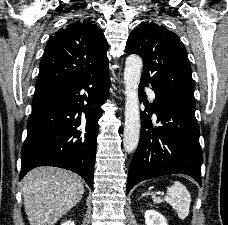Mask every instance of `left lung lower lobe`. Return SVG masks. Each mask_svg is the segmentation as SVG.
Segmentation results:
<instances>
[{
    "label": "left lung lower lobe",
    "mask_w": 228,
    "mask_h": 225,
    "mask_svg": "<svg viewBox=\"0 0 228 225\" xmlns=\"http://www.w3.org/2000/svg\"><path fill=\"white\" fill-rule=\"evenodd\" d=\"M146 85L140 82V102L147 98ZM155 94L153 104L147 105L145 101L147 108L141 112L140 141L130 164L126 194L143 180L176 173L189 175L202 185L203 154L195 102L156 91ZM153 113L157 116V127L152 126Z\"/></svg>",
    "instance_id": "left-lung-lower-lobe-1"
}]
</instances>
